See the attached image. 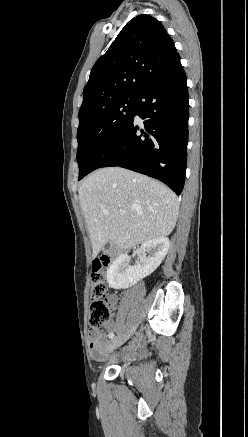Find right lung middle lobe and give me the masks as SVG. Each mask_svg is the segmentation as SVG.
Listing matches in <instances>:
<instances>
[{
	"instance_id": "dd1d6c3e",
	"label": "right lung middle lobe",
	"mask_w": 248,
	"mask_h": 437,
	"mask_svg": "<svg viewBox=\"0 0 248 437\" xmlns=\"http://www.w3.org/2000/svg\"><path fill=\"white\" fill-rule=\"evenodd\" d=\"M135 97L117 100L79 123L77 131L79 180L90 173L97 156L122 132L134 114Z\"/></svg>"
}]
</instances>
